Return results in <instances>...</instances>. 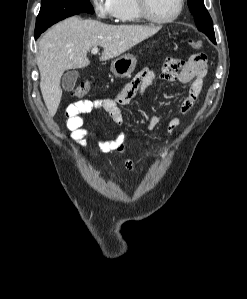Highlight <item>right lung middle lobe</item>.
<instances>
[{
	"instance_id": "right-lung-middle-lobe-1",
	"label": "right lung middle lobe",
	"mask_w": 247,
	"mask_h": 299,
	"mask_svg": "<svg viewBox=\"0 0 247 299\" xmlns=\"http://www.w3.org/2000/svg\"><path fill=\"white\" fill-rule=\"evenodd\" d=\"M79 13H94L90 0H42L37 16L35 36L67 17Z\"/></svg>"
}]
</instances>
